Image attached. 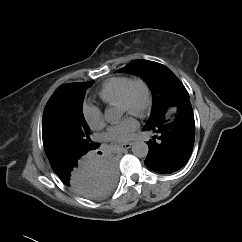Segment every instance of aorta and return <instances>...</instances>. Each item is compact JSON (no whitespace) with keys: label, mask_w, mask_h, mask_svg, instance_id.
I'll return each instance as SVG.
<instances>
[{"label":"aorta","mask_w":242,"mask_h":242,"mask_svg":"<svg viewBox=\"0 0 242 242\" xmlns=\"http://www.w3.org/2000/svg\"><path fill=\"white\" fill-rule=\"evenodd\" d=\"M121 117V113L114 107L106 108L104 111V119L107 122H115L119 120ZM149 147L143 141H136L132 145V153L136 157L143 158L148 155Z\"/></svg>","instance_id":"aorta-1"}]
</instances>
